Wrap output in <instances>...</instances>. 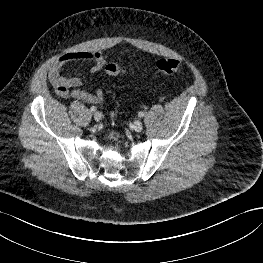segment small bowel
I'll use <instances>...</instances> for the list:
<instances>
[{
  "mask_svg": "<svg viewBox=\"0 0 263 263\" xmlns=\"http://www.w3.org/2000/svg\"><path fill=\"white\" fill-rule=\"evenodd\" d=\"M84 61L91 65V71L97 72L105 66V59L99 51H78L66 53L53 62L49 69L48 79L56 94L62 98L72 97L90 104L101 103L104 99L102 90L94 93L81 88V80L77 77L62 75L63 67L70 62Z\"/></svg>",
  "mask_w": 263,
  "mask_h": 263,
  "instance_id": "1",
  "label": "small bowel"
}]
</instances>
